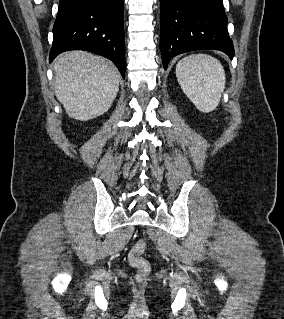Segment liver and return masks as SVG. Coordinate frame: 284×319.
<instances>
[{
	"instance_id": "liver-1",
	"label": "liver",
	"mask_w": 284,
	"mask_h": 319,
	"mask_svg": "<svg viewBox=\"0 0 284 319\" xmlns=\"http://www.w3.org/2000/svg\"><path fill=\"white\" fill-rule=\"evenodd\" d=\"M55 93L69 117L87 121L105 113L119 90L118 70L103 57L70 51L55 61Z\"/></svg>"
}]
</instances>
